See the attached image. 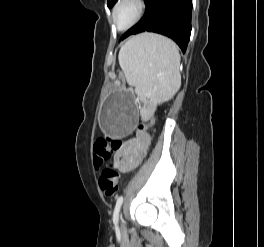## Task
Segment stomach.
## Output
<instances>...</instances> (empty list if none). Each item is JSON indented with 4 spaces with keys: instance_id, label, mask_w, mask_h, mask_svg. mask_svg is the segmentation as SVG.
<instances>
[{
    "instance_id": "1",
    "label": "stomach",
    "mask_w": 264,
    "mask_h": 247,
    "mask_svg": "<svg viewBox=\"0 0 264 247\" xmlns=\"http://www.w3.org/2000/svg\"><path fill=\"white\" fill-rule=\"evenodd\" d=\"M137 103L130 90L115 92L107 97L101 111V123L104 129L113 136V141H118V136H130V131H135L138 123Z\"/></svg>"
}]
</instances>
